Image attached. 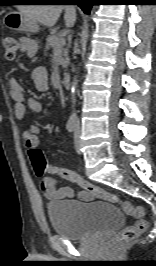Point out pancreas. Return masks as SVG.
<instances>
[{
    "label": "pancreas",
    "mask_w": 156,
    "mask_h": 266,
    "mask_svg": "<svg viewBox=\"0 0 156 266\" xmlns=\"http://www.w3.org/2000/svg\"><path fill=\"white\" fill-rule=\"evenodd\" d=\"M47 44L51 46L55 53H58L60 56V64L66 68L68 64V50L64 49L65 40L60 37L58 34H52L47 37ZM65 57V58H63Z\"/></svg>",
    "instance_id": "obj_1"
}]
</instances>
